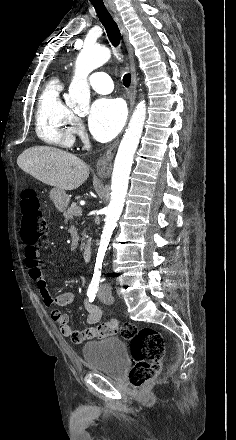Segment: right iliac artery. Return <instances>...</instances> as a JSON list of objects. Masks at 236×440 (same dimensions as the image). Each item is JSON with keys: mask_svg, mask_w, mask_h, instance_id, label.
<instances>
[{"mask_svg": "<svg viewBox=\"0 0 236 440\" xmlns=\"http://www.w3.org/2000/svg\"><path fill=\"white\" fill-rule=\"evenodd\" d=\"M97 291H98L97 286L89 285L88 291H87V296H88L90 302L94 301Z\"/></svg>", "mask_w": 236, "mask_h": 440, "instance_id": "82829eb1", "label": "right iliac artery"}]
</instances>
